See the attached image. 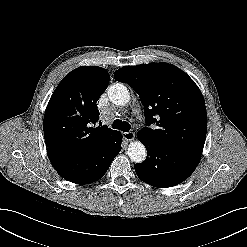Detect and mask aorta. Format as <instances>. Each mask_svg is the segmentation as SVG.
Instances as JSON below:
<instances>
[{"mask_svg": "<svg viewBox=\"0 0 247 247\" xmlns=\"http://www.w3.org/2000/svg\"><path fill=\"white\" fill-rule=\"evenodd\" d=\"M108 97L113 104L124 106L130 100V93L126 86L116 83L108 88ZM127 153L129 158L135 163L143 162L147 156L146 148L140 141L131 142Z\"/></svg>", "mask_w": 247, "mask_h": 247, "instance_id": "aorta-1", "label": "aorta"}]
</instances>
